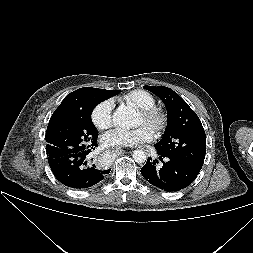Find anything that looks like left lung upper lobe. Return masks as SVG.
<instances>
[{"label": "left lung upper lobe", "instance_id": "1", "mask_svg": "<svg viewBox=\"0 0 253 253\" xmlns=\"http://www.w3.org/2000/svg\"><path fill=\"white\" fill-rule=\"evenodd\" d=\"M157 95L167 108V127L154 145L157 152L174 157L200 172L206 154V136L199 117L173 90L164 86H144Z\"/></svg>", "mask_w": 253, "mask_h": 253}]
</instances>
